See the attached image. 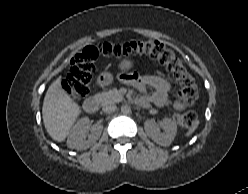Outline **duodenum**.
<instances>
[{
  "instance_id": "1",
  "label": "duodenum",
  "mask_w": 248,
  "mask_h": 194,
  "mask_svg": "<svg viewBox=\"0 0 248 194\" xmlns=\"http://www.w3.org/2000/svg\"><path fill=\"white\" fill-rule=\"evenodd\" d=\"M84 109L89 113H95L98 108V99L94 96L86 98L83 102Z\"/></svg>"
}]
</instances>
